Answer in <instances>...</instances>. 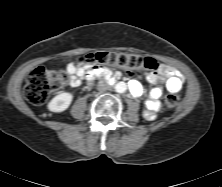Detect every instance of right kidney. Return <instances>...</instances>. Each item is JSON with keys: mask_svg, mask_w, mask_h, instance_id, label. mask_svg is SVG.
Wrapping results in <instances>:
<instances>
[{"mask_svg": "<svg viewBox=\"0 0 222 187\" xmlns=\"http://www.w3.org/2000/svg\"><path fill=\"white\" fill-rule=\"evenodd\" d=\"M73 99V95L69 92H63L55 96L47 105L52 112H62L66 110Z\"/></svg>", "mask_w": 222, "mask_h": 187, "instance_id": "right-kidney-1", "label": "right kidney"}]
</instances>
